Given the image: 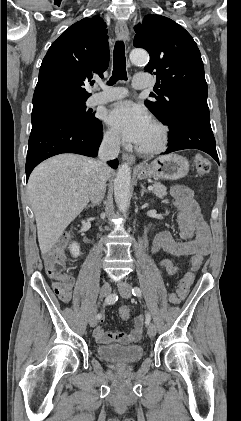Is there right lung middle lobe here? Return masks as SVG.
<instances>
[{
	"mask_svg": "<svg viewBox=\"0 0 241 421\" xmlns=\"http://www.w3.org/2000/svg\"><path fill=\"white\" fill-rule=\"evenodd\" d=\"M85 101H51L33 106L31 121L34 123L54 116H65L79 125L95 129L100 121L94 117V113L86 111Z\"/></svg>",
	"mask_w": 241,
	"mask_h": 421,
	"instance_id": "1",
	"label": "right lung middle lobe"
}]
</instances>
